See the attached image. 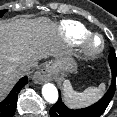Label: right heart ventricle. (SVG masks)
Listing matches in <instances>:
<instances>
[{
  "mask_svg": "<svg viewBox=\"0 0 117 117\" xmlns=\"http://www.w3.org/2000/svg\"><path fill=\"white\" fill-rule=\"evenodd\" d=\"M60 29L64 39L73 45L80 44L84 38L91 34L90 30L82 23L72 20L63 21Z\"/></svg>",
  "mask_w": 117,
  "mask_h": 117,
  "instance_id": "e07e8e85",
  "label": "right heart ventricle"
}]
</instances>
